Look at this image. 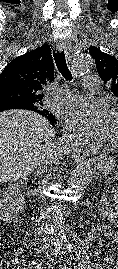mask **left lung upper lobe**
I'll return each mask as SVG.
<instances>
[{
    "mask_svg": "<svg viewBox=\"0 0 118 269\" xmlns=\"http://www.w3.org/2000/svg\"><path fill=\"white\" fill-rule=\"evenodd\" d=\"M89 53L95 59L100 78L110 87L111 92L118 97V60L99 48L92 46Z\"/></svg>",
    "mask_w": 118,
    "mask_h": 269,
    "instance_id": "left-lung-upper-lobe-1",
    "label": "left lung upper lobe"
}]
</instances>
